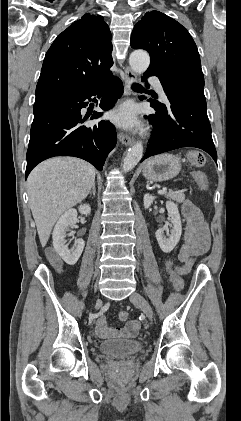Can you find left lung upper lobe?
I'll list each match as a JSON object with an SVG mask.
<instances>
[{"instance_id":"5c2ea615","label":"left lung upper lobe","mask_w":241,"mask_h":421,"mask_svg":"<svg viewBox=\"0 0 241 421\" xmlns=\"http://www.w3.org/2000/svg\"><path fill=\"white\" fill-rule=\"evenodd\" d=\"M131 47L148 51L151 62L147 71L159 73L165 81L204 87L196 44L186 28L171 17L159 11L146 13L132 31Z\"/></svg>"}]
</instances>
